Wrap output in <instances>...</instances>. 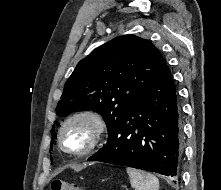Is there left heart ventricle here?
<instances>
[{"label":"left heart ventricle","mask_w":221,"mask_h":190,"mask_svg":"<svg viewBox=\"0 0 221 190\" xmlns=\"http://www.w3.org/2000/svg\"><path fill=\"white\" fill-rule=\"evenodd\" d=\"M91 135V124L86 120H76L67 126L64 142L69 148L82 149L88 145Z\"/></svg>","instance_id":"left-heart-ventricle-1"}]
</instances>
